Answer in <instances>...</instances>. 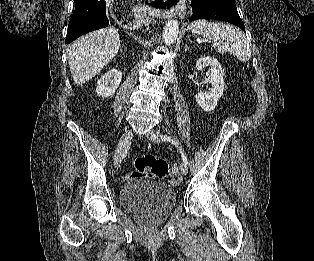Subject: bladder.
I'll return each mask as SVG.
<instances>
[{"mask_svg":"<svg viewBox=\"0 0 314 261\" xmlns=\"http://www.w3.org/2000/svg\"><path fill=\"white\" fill-rule=\"evenodd\" d=\"M123 209L145 225L164 222L176 204L175 189L155 180H133L120 190Z\"/></svg>","mask_w":314,"mask_h":261,"instance_id":"1","label":"bladder"}]
</instances>
